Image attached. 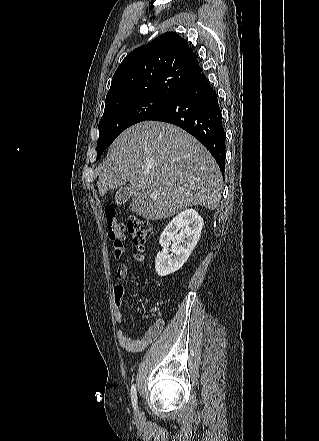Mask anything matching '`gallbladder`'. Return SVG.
Here are the masks:
<instances>
[{"label":"gallbladder","mask_w":319,"mask_h":441,"mask_svg":"<svg viewBox=\"0 0 319 441\" xmlns=\"http://www.w3.org/2000/svg\"><path fill=\"white\" fill-rule=\"evenodd\" d=\"M131 198L130 189L128 186H122L115 194L117 204L123 205Z\"/></svg>","instance_id":"obj_1"}]
</instances>
